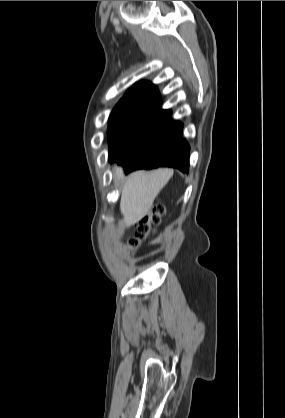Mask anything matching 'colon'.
I'll return each mask as SVG.
<instances>
[{"label": "colon", "mask_w": 285, "mask_h": 418, "mask_svg": "<svg viewBox=\"0 0 285 418\" xmlns=\"http://www.w3.org/2000/svg\"><path fill=\"white\" fill-rule=\"evenodd\" d=\"M164 213L165 209L163 205L159 204L154 206L151 214L138 222L134 235L129 238V245L135 247L139 244L141 239L146 238L151 224L159 221Z\"/></svg>", "instance_id": "5ec220e1"}]
</instances>
